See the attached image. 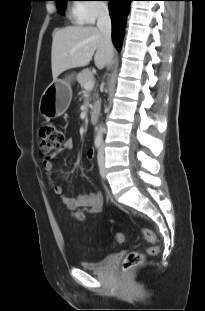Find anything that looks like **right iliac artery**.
Here are the masks:
<instances>
[{
    "label": "right iliac artery",
    "mask_w": 205,
    "mask_h": 311,
    "mask_svg": "<svg viewBox=\"0 0 205 311\" xmlns=\"http://www.w3.org/2000/svg\"><path fill=\"white\" fill-rule=\"evenodd\" d=\"M100 146H101V142H100V141H95V147H96L97 149H99Z\"/></svg>",
    "instance_id": "1"
}]
</instances>
